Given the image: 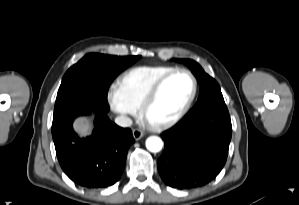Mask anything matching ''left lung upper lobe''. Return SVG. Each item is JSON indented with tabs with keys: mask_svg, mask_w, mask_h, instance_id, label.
I'll return each mask as SVG.
<instances>
[{
	"mask_svg": "<svg viewBox=\"0 0 299 205\" xmlns=\"http://www.w3.org/2000/svg\"><path fill=\"white\" fill-rule=\"evenodd\" d=\"M178 62L185 63L189 66L201 85L200 95L195 106L189 111V114H199L203 111L214 107H225L219 85L195 61L190 59H175Z\"/></svg>",
	"mask_w": 299,
	"mask_h": 205,
	"instance_id": "1",
	"label": "left lung upper lobe"
}]
</instances>
